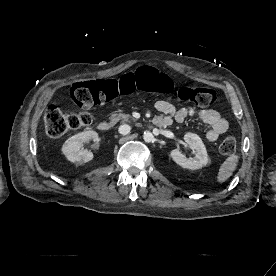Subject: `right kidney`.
<instances>
[{
	"instance_id": "1",
	"label": "right kidney",
	"mask_w": 276,
	"mask_h": 276,
	"mask_svg": "<svg viewBox=\"0 0 276 276\" xmlns=\"http://www.w3.org/2000/svg\"><path fill=\"white\" fill-rule=\"evenodd\" d=\"M97 141L98 134L93 131H83L68 138L62 146V153L73 163H86L93 159V153L82 148L85 141Z\"/></svg>"
}]
</instances>
